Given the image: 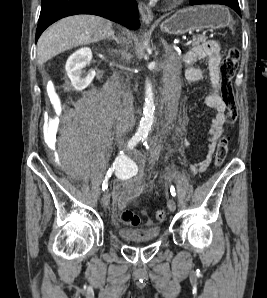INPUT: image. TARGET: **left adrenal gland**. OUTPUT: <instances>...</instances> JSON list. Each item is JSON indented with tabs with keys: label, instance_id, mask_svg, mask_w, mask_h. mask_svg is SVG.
Segmentation results:
<instances>
[{
	"label": "left adrenal gland",
	"instance_id": "1",
	"mask_svg": "<svg viewBox=\"0 0 267 298\" xmlns=\"http://www.w3.org/2000/svg\"><path fill=\"white\" fill-rule=\"evenodd\" d=\"M161 41H162L163 47L165 49V56H169V57L173 56L174 52H173L172 47L169 46L164 39H162Z\"/></svg>",
	"mask_w": 267,
	"mask_h": 298
}]
</instances>
